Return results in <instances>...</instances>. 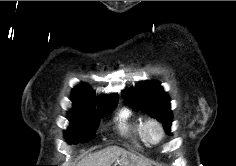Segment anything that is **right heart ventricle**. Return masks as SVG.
Wrapping results in <instances>:
<instances>
[{
	"label": "right heart ventricle",
	"instance_id": "1",
	"mask_svg": "<svg viewBox=\"0 0 236 166\" xmlns=\"http://www.w3.org/2000/svg\"><path fill=\"white\" fill-rule=\"evenodd\" d=\"M118 118L120 128L124 133L129 134L141 142H146L142 132V125L144 122L142 118L135 117L132 111L127 108L120 111Z\"/></svg>",
	"mask_w": 236,
	"mask_h": 166
}]
</instances>
